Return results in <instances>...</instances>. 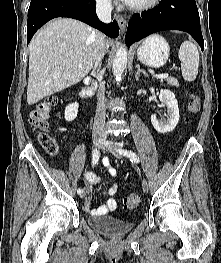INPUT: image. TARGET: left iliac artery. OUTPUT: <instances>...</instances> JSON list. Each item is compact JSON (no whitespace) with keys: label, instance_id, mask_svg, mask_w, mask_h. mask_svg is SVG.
<instances>
[{"label":"left iliac artery","instance_id":"obj_1","mask_svg":"<svg viewBox=\"0 0 221 263\" xmlns=\"http://www.w3.org/2000/svg\"><path fill=\"white\" fill-rule=\"evenodd\" d=\"M118 151H119L120 154L128 157L131 162L139 163V157H138L137 154L134 153L133 151L123 150V149H118Z\"/></svg>","mask_w":221,"mask_h":263}]
</instances>
